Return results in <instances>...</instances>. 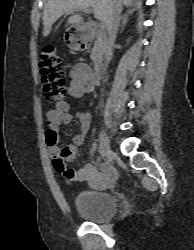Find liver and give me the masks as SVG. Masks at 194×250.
I'll return each mask as SVG.
<instances>
[{
  "mask_svg": "<svg viewBox=\"0 0 194 250\" xmlns=\"http://www.w3.org/2000/svg\"><path fill=\"white\" fill-rule=\"evenodd\" d=\"M122 2L125 5L131 3V0H48L43 11V35L48 36L52 25L66 12L70 10L82 11L93 8L95 17H99L108 28L117 5ZM126 22V20L124 19ZM83 23V17L74 15L67 21V25H80Z\"/></svg>",
  "mask_w": 194,
  "mask_h": 250,
  "instance_id": "6515ba94",
  "label": "liver"
}]
</instances>
